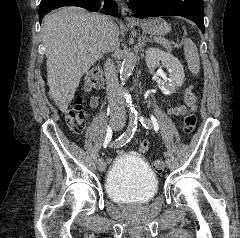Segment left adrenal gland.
I'll use <instances>...</instances> for the list:
<instances>
[{
	"mask_svg": "<svg viewBox=\"0 0 240 238\" xmlns=\"http://www.w3.org/2000/svg\"><path fill=\"white\" fill-rule=\"evenodd\" d=\"M147 42H152L151 39L147 38L145 34L142 35V40L139 42L140 48H143Z\"/></svg>",
	"mask_w": 240,
	"mask_h": 238,
	"instance_id": "1",
	"label": "left adrenal gland"
}]
</instances>
